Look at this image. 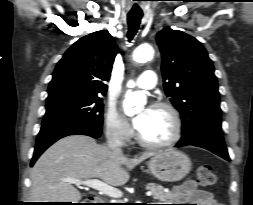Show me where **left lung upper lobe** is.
I'll use <instances>...</instances> for the list:
<instances>
[{
  "label": "left lung upper lobe",
  "mask_w": 253,
  "mask_h": 205,
  "mask_svg": "<svg viewBox=\"0 0 253 205\" xmlns=\"http://www.w3.org/2000/svg\"><path fill=\"white\" fill-rule=\"evenodd\" d=\"M164 89L183 121L189 142L204 130L222 131L218 84L212 61L194 37L165 28L157 34Z\"/></svg>",
  "instance_id": "obj_1"
}]
</instances>
